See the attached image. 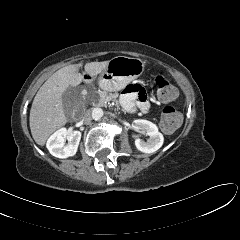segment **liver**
Here are the masks:
<instances>
[{
  "label": "liver",
  "instance_id": "liver-1",
  "mask_svg": "<svg viewBox=\"0 0 240 240\" xmlns=\"http://www.w3.org/2000/svg\"><path fill=\"white\" fill-rule=\"evenodd\" d=\"M109 61L85 64L87 76L94 77L106 68ZM81 64H73L56 71L40 87L30 110V130L34 141L44 146L48 137L67 123L62 96L69 86H78L84 77L79 73Z\"/></svg>",
  "mask_w": 240,
  "mask_h": 240
}]
</instances>
